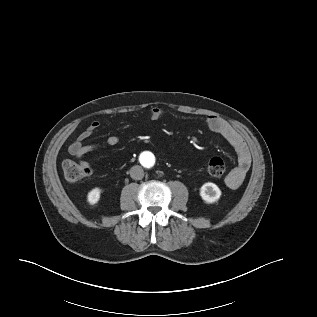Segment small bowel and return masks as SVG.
Wrapping results in <instances>:
<instances>
[{
	"instance_id": "c3829d8e",
	"label": "small bowel",
	"mask_w": 317,
	"mask_h": 317,
	"mask_svg": "<svg viewBox=\"0 0 317 317\" xmlns=\"http://www.w3.org/2000/svg\"><path fill=\"white\" fill-rule=\"evenodd\" d=\"M163 116L164 110L160 107H155L150 112V117L152 120H160ZM204 121L210 130L223 137L237 153V166L225 178L226 185L231 189H236L242 184L251 165V157L244 144V141L240 134L223 118L216 115H208L205 117ZM99 128L100 123L98 121L92 122L68 147L69 154L79 160L81 164L88 167L89 164L85 161V156L98 149L101 144H86L85 142ZM119 141V137L112 135L108 136L104 140L103 145L115 146L119 143Z\"/></svg>"
}]
</instances>
